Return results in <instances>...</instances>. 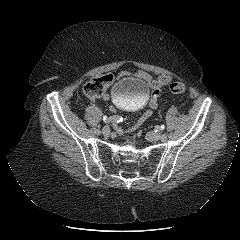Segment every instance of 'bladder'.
I'll return each instance as SVG.
<instances>
[{"instance_id":"31cf9c89","label":"bladder","mask_w":240,"mask_h":240,"mask_svg":"<svg viewBox=\"0 0 240 240\" xmlns=\"http://www.w3.org/2000/svg\"><path fill=\"white\" fill-rule=\"evenodd\" d=\"M111 94L118 107L135 110L145 102L149 89L144 81L125 77L114 84Z\"/></svg>"}]
</instances>
